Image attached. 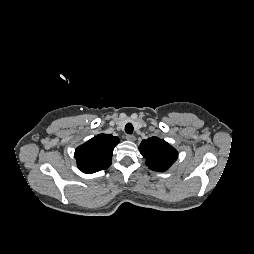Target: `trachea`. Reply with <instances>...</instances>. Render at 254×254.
I'll list each match as a JSON object with an SVG mask.
<instances>
[{
  "instance_id": "3493384b",
  "label": "trachea",
  "mask_w": 254,
  "mask_h": 254,
  "mask_svg": "<svg viewBox=\"0 0 254 254\" xmlns=\"http://www.w3.org/2000/svg\"><path fill=\"white\" fill-rule=\"evenodd\" d=\"M125 132L127 134H132L133 133V125L131 123H127L125 126Z\"/></svg>"
}]
</instances>
